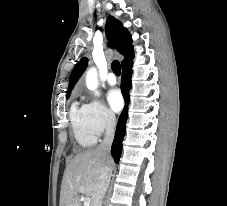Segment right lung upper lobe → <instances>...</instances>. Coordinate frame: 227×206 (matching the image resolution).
I'll use <instances>...</instances> for the list:
<instances>
[{
    "label": "right lung upper lobe",
    "instance_id": "1",
    "mask_svg": "<svg viewBox=\"0 0 227 206\" xmlns=\"http://www.w3.org/2000/svg\"><path fill=\"white\" fill-rule=\"evenodd\" d=\"M105 32L107 38L110 41L111 46L125 57L124 60L122 61V67L131 63L134 55L133 47L131 45L132 39L127 29L123 27L122 24L117 19L110 16L107 19ZM87 63L88 59L82 58L73 69L70 76L67 97L69 96L70 91L73 89L75 83L78 81L79 77L87 67Z\"/></svg>",
    "mask_w": 227,
    "mask_h": 206
}]
</instances>
